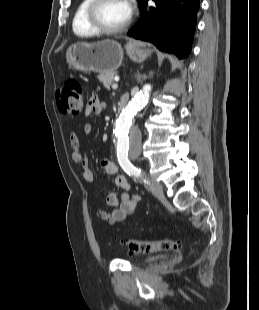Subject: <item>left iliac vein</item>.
I'll return each mask as SVG.
<instances>
[{"mask_svg": "<svg viewBox=\"0 0 259 310\" xmlns=\"http://www.w3.org/2000/svg\"><path fill=\"white\" fill-rule=\"evenodd\" d=\"M149 182V188L150 191L155 195V196H162L163 194V188L160 182L148 179Z\"/></svg>", "mask_w": 259, "mask_h": 310, "instance_id": "4c4485c4", "label": "left iliac vein"}]
</instances>
